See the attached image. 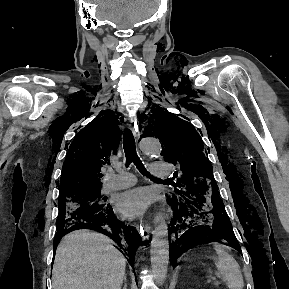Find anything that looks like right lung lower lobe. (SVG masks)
Wrapping results in <instances>:
<instances>
[{"mask_svg":"<svg viewBox=\"0 0 289 289\" xmlns=\"http://www.w3.org/2000/svg\"><path fill=\"white\" fill-rule=\"evenodd\" d=\"M78 229H91L110 237L118 244L120 247L118 249L126 255L130 265L134 267L135 252L137 247L142 244L141 238L137 230H132L131 227L125 226L123 222L116 218L110 205L97 214L81 216L72 221L63 231H57L54 238V250H56L60 239L64 235Z\"/></svg>","mask_w":289,"mask_h":289,"instance_id":"98d812e1","label":"right lung lower lobe"}]
</instances>
